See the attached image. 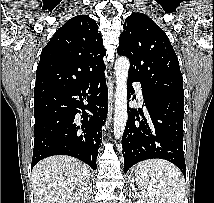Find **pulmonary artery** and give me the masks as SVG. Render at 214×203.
<instances>
[{
	"mask_svg": "<svg viewBox=\"0 0 214 203\" xmlns=\"http://www.w3.org/2000/svg\"><path fill=\"white\" fill-rule=\"evenodd\" d=\"M135 89H136V93H137V97L138 99L143 102V93H142V87L140 83H134Z\"/></svg>",
	"mask_w": 214,
	"mask_h": 203,
	"instance_id": "pulmonary-artery-1",
	"label": "pulmonary artery"
}]
</instances>
